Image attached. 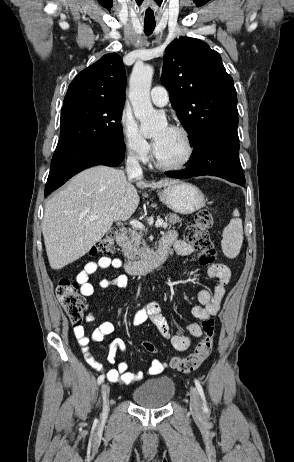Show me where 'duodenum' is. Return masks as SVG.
Instances as JSON below:
<instances>
[{
    "label": "duodenum",
    "instance_id": "1",
    "mask_svg": "<svg viewBox=\"0 0 294 462\" xmlns=\"http://www.w3.org/2000/svg\"><path fill=\"white\" fill-rule=\"evenodd\" d=\"M128 239L126 228H120L116 234V242L119 246L126 245ZM169 245L161 242L153 253L147 258L140 260H128L126 270L132 276L144 275L158 268L166 260Z\"/></svg>",
    "mask_w": 294,
    "mask_h": 462
}]
</instances>
